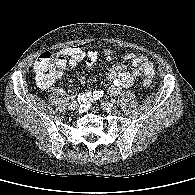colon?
Returning <instances> with one entry per match:
<instances>
[{"label": "colon", "mask_w": 195, "mask_h": 195, "mask_svg": "<svg viewBox=\"0 0 195 195\" xmlns=\"http://www.w3.org/2000/svg\"><path fill=\"white\" fill-rule=\"evenodd\" d=\"M65 66V58L54 52H44L38 56L34 64L37 81L41 87L52 85L62 74ZM143 86L150 87L149 78L142 81Z\"/></svg>", "instance_id": "obj_1"}]
</instances>
